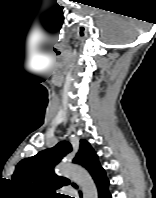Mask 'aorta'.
Returning <instances> with one entry per match:
<instances>
[{
    "label": "aorta",
    "mask_w": 156,
    "mask_h": 198,
    "mask_svg": "<svg viewBox=\"0 0 156 198\" xmlns=\"http://www.w3.org/2000/svg\"><path fill=\"white\" fill-rule=\"evenodd\" d=\"M56 173L72 178L81 188L83 198H98L97 187L84 168L78 165L62 163L56 167Z\"/></svg>",
    "instance_id": "aorta-1"
}]
</instances>
